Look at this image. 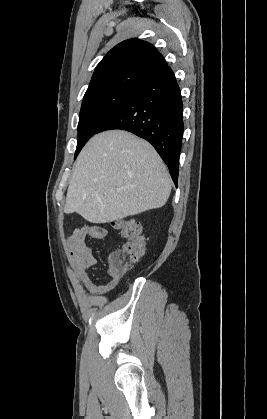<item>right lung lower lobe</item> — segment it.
Returning a JSON list of instances; mask_svg holds the SVG:
<instances>
[{
  "instance_id": "1",
  "label": "right lung lower lobe",
  "mask_w": 267,
  "mask_h": 419,
  "mask_svg": "<svg viewBox=\"0 0 267 419\" xmlns=\"http://www.w3.org/2000/svg\"><path fill=\"white\" fill-rule=\"evenodd\" d=\"M180 88L170 67L142 83L98 128L129 131L149 141L167 164L177 186L184 124Z\"/></svg>"
}]
</instances>
